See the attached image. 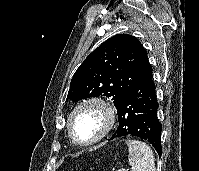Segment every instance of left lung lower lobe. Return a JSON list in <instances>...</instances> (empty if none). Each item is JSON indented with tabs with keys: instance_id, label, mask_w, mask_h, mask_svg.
Wrapping results in <instances>:
<instances>
[{
	"instance_id": "1",
	"label": "left lung lower lobe",
	"mask_w": 199,
	"mask_h": 171,
	"mask_svg": "<svg viewBox=\"0 0 199 171\" xmlns=\"http://www.w3.org/2000/svg\"><path fill=\"white\" fill-rule=\"evenodd\" d=\"M158 102L151 69L131 88L117 107L119 126L110 140L137 136L149 141L162 154V126L157 118Z\"/></svg>"
}]
</instances>
